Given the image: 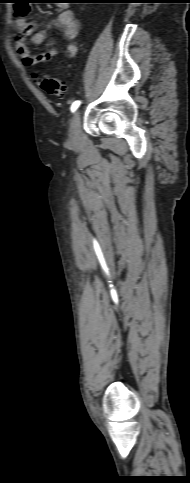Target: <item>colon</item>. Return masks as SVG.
I'll return each instance as SVG.
<instances>
[{
  "label": "colon",
  "mask_w": 190,
  "mask_h": 483,
  "mask_svg": "<svg viewBox=\"0 0 190 483\" xmlns=\"http://www.w3.org/2000/svg\"><path fill=\"white\" fill-rule=\"evenodd\" d=\"M27 7H28V4L20 5L16 11L17 14L21 17L24 16L26 13ZM36 82L42 89H44L47 93L53 96L61 97L64 95L66 91L65 82L58 77H54L50 75H39L36 77Z\"/></svg>",
  "instance_id": "5ec220e1"
}]
</instances>
